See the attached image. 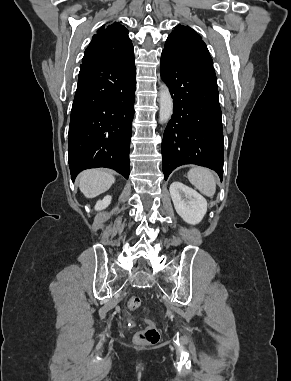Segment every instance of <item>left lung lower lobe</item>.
Returning <instances> with one entry per match:
<instances>
[{
    "label": "left lung lower lobe",
    "instance_id": "1",
    "mask_svg": "<svg viewBox=\"0 0 291 381\" xmlns=\"http://www.w3.org/2000/svg\"><path fill=\"white\" fill-rule=\"evenodd\" d=\"M160 73L173 94V115L162 141L165 180L178 166L196 164L223 176V130L217 78L162 52Z\"/></svg>",
    "mask_w": 291,
    "mask_h": 381
}]
</instances>
